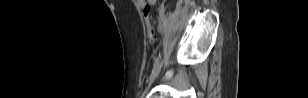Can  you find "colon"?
<instances>
[{
    "label": "colon",
    "mask_w": 308,
    "mask_h": 98,
    "mask_svg": "<svg viewBox=\"0 0 308 98\" xmlns=\"http://www.w3.org/2000/svg\"><path fill=\"white\" fill-rule=\"evenodd\" d=\"M143 16L146 23V32L151 41L155 40V34L151 25V10L148 6L143 8Z\"/></svg>",
    "instance_id": "1"
}]
</instances>
